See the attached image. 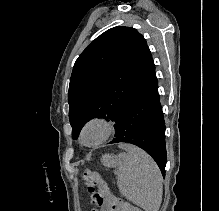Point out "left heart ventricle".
Returning <instances> with one entry per match:
<instances>
[{
    "label": "left heart ventricle",
    "instance_id": "1",
    "mask_svg": "<svg viewBox=\"0 0 219 211\" xmlns=\"http://www.w3.org/2000/svg\"><path fill=\"white\" fill-rule=\"evenodd\" d=\"M100 131L98 128H90L86 131L84 135V141L88 144L94 143L98 140Z\"/></svg>",
    "mask_w": 219,
    "mask_h": 211
}]
</instances>
